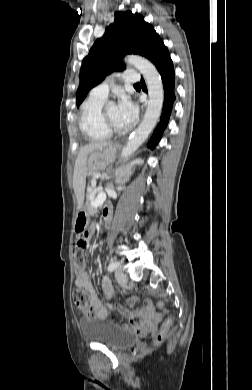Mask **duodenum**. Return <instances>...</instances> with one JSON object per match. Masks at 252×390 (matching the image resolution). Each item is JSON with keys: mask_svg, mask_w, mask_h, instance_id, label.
I'll use <instances>...</instances> for the list:
<instances>
[{"mask_svg": "<svg viewBox=\"0 0 252 390\" xmlns=\"http://www.w3.org/2000/svg\"><path fill=\"white\" fill-rule=\"evenodd\" d=\"M105 209V211H109V207H105L104 208ZM103 226L105 227V228H107V227H109V217L108 216H105L104 218H103Z\"/></svg>", "mask_w": 252, "mask_h": 390, "instance_id": "1", "label": "duodenum"}]
</instances>
